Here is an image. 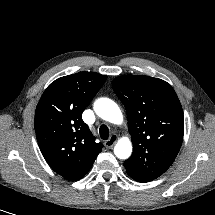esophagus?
<instances>
[{"label": "esophagus", "mask_w": 215, "mask_h": 215, "mask_svg": "<svg viewBox=\"0 0 215 215\" xmlns=\"http://www.w3.org/2000/svg\"><path fill=\"white\" fill-rule=\"evenodd\" d=\"M118 137L117 135L113 134L111 137L105 142V146L107 148H111L117 141Z\"/></svg>", "instance_id": "esophagus-1"}]
</instances>
